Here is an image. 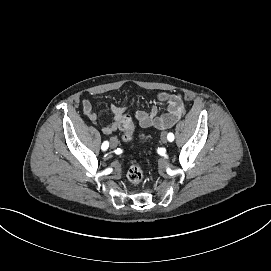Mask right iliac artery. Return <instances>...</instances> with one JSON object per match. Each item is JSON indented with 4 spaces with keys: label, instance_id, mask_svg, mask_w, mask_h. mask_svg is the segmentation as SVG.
Listing matches in <instances>:
<instances>
[{
    "label": "right iliac artery",
    "instance_id": "1",
    "mask_svg": "<svg viewBox=\"0 0 271 271\" xmlns=\"http://www.w3.org/2000/svg\"><path fill=\"white\" fill-rule=\"evenodd\" d=\"M108 147H109L108 141H105V142L102 144V146H101L102 150H107Z\"/></svg>",
    "mask_w": 271,
    "mask_h": 271
}]
</instances>
